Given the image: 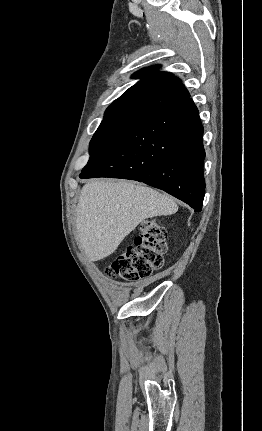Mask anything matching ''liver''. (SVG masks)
<instances>
[{
	"label": "liver",
	"mask_w": 262,
	"mask_h": 431,
	"mask_svg": "<svg viewBox=\"0 0 262 431\" xmlns=\"http://www.w3.org/2000/svg\"><path fill=\"white\" fill-rule=\"evenodd\" d=\"M166 194L129 181L92 180L83 186L76 210L78 244L89 260L111 255L147 218L176 213Z\"/></svg>",
	"instance_id": "liver-1"
}]
</instances>
